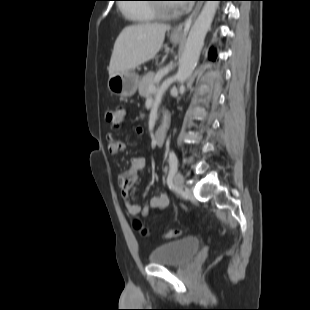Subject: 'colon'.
I'll return each instance as SVG.
<instances>
[{
	"instance_id": "5ec220e1",
	"label": "colon",
	"mask_w": 310,
	"mask_h": 310,
	"mask_svg": "<svg viewBox=\"0 0 310 310\" xmlns=\"http://www.w3.org/2000/svg\"><path fill=\"white\" fill-rule=\"evenodd\" d=\"M126 117V108L123 105H118L114 108L108 109L105 113V120L107 123L115 128H120L123 126ZM139 227V224L136 223ZM181 235V231L178 229L168 230L164 232L163 236L165 238H176Z\"/></svg>"
}]
</instances>
